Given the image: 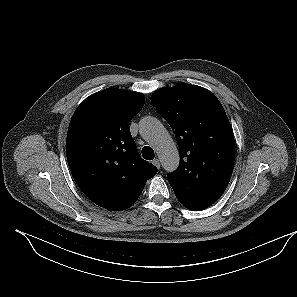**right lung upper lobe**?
<instances>
[{"mask_svg": "<svg viewBox=\"0 0 297 297\" xmlns=\"http://www.w3.org/2000/svg\"><path fill=\"white\" fill-rule=\"evenodd\" d=\"M144 102L142 93L107 88L86 98L70 121V171L82 192L105 209L131 207L158 171L140 157L129 129Z\"/></svg>", "mask_w": 297, "mask_h": 297, "instance_id": "obj_1", "label": "right lung upper lobe"}]
</instances>
